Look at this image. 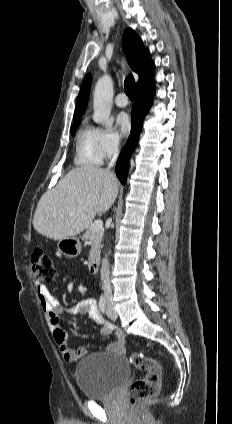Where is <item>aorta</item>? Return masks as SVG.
I'll list each match as a JSON object with an SVG mask.
<instances>
[{"label":"aorta","instance_id":"762f6f07","mask_svg":"<svg viewBox=\"0 0 232 424\" xmlns=\"http://www.w3.org/2000/svg\"><path fill=\"white\" fill-rule=\"evenodd\" d=\"M113 101V82L109 75H103L96 83L94 90L93 119L106 127H111L110 119Z\"/></svg>","mask_w":232,"mask_h":424}]
</instances>
